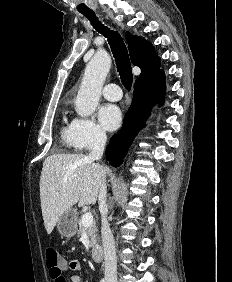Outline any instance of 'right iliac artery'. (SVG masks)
I'll use <instances>...</instances> for the list:
<instances>
[{"label": "right iliac artery", "instance_id": "1", "mask_svg": "<svg viewBox=\"0 0 232 282\" xmlns=\"http://www.w3.org/2000/svg\"><path fill=\"white\" fill-rule=\"evenodd\" d=\"M100 282H105V280H104V279H102Z\"/></svg>", "mask_w": 232, "mask_h": 282}]
</instances>
